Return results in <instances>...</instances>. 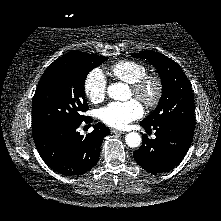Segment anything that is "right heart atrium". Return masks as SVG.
<instances>
[{"mask_svg":"<svg viewBox=\"0 0 221 221\" xmlns=\"http://www.w3.org/2000/svg\"><path fill=\"white\" fill-rule=\"evenodd\" d=\"M84 93L89 101L94 104H98L105 99L107 79L101 69L96 68L88 73L84 81Z\"/></svg>","mask_w":221,"mask_h":221,"instance_id":"obj_1","label":"right heart atrium"}]
</instances>
